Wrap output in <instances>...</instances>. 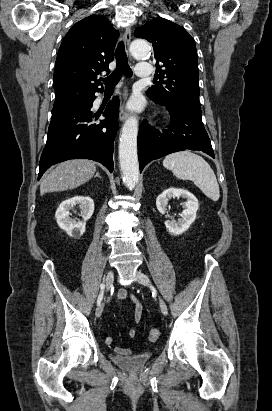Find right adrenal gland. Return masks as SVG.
<instances>
[{"label":"right adrenal gland","instance_id":"1","mask_svg":"<svg viewBox=\"0 0 272 411\" xmlns=\"http://www.w3.org/2000/svg\"><path fill=\"white\" fill-rule=\"evenodd\" d=\"M95 177L102 178V177L99 175V173H98V172L96 173Z\"/></svg>","mask_w":272,"mask_h":411}]
</instances>
